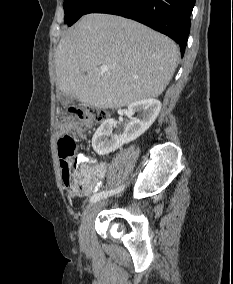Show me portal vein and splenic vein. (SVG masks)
<instances>
[{
    "mask_svg": "<svg viewBox=\"0 0 233 284\" xmlns=\"http://www.w3.org/2000/svg\"><path fill=\"white\" fill-rule=\"evenodd\" d=\"M100 69H101L102 71H108V66L103 65V66L100 67Z\"/></svg>",
    "mask_w": 233,
    "mask_h": 284,
    "instance_id": "portal-vein-and-splenic-vein-1",
    "label": "portal vein and splenic vein"
}]
</instances>
